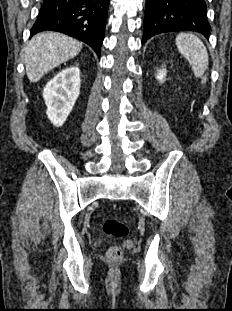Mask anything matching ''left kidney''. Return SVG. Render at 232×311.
I'll use <instances>...</instances> for the list:
<instances>
[{
	"label": "left kidney",
	"instance_id": "left-kidney-1",
	"mask_svg": "<svg viewBox=\"0 0 232 311\" xmlns=\"http://www.w3.org/2000/svg\"><path fill=\"white\" fill-rule=\"evenodd\" d=\"M165 75H166V69L162 68V69L158 70L157 75H156V79L159 80L160 83H163Z\"/></svg>",
	"mask_w": 232,
	"mask_h": 311
}]
</instances>
